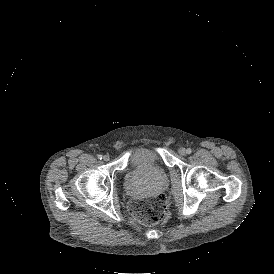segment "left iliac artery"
Here are the masks:
<instances>
[{"instance_id": "44dca946", "label": "left iliac artery", "mask_w": 274, "mask_h": 274, "mask_svg": "<svg viewBox=\"0 0 274 274\" xmlns=\"http://www.w3.org/2000/svg\"><path fill=\"white\" fill-rule=\"evenodd\" d=\"M186 152H187V154H190V153L192 152V150H191L190 148H188V149L186 150Z\"/></svg>"}]
</instances>
